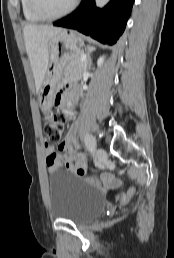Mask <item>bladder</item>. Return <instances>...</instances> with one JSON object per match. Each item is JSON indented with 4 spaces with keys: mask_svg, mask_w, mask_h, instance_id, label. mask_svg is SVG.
<instances>
[{
    "mask_svg": "<svg viewBox=\"0 0 174 258\" xmlns=\"http://www.w3.org/2000/svg\"><path fill=\"white\" fill-rule=\"evenodd\" d=\"M106 206L97 187L65 171L50 174L48 208L52 217L83 224L98 217Z\"/></svg>",
    "mask_w": 174,
    "mask_h": 258,
    "instance_id": "obj_1",
    "label": "bladder"
}]
</instances>
